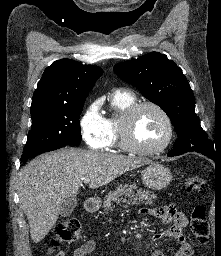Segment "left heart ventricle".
<instances>
[{"instance_id": "b2bd125f", "label": "left heart ventricle", "mask_w": 221, "mask_h": 256, "mask_svg": "<svg viewBox=\"0 0 221 256\" xmlns=\"http://www.w3.org/2000/svg\"><path fill=\"white\" fill-rule=\"evenodd\" d=\"M165 135V122L156 110L146 107L136 115L132 128V137L136 144L153 148L163 141Z\"/></svg>"}]
</instances>
